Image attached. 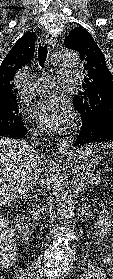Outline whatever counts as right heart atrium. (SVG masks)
I'll use <instances>...</instances> for the list:
<instances>
[{"mask_svg": "<svg viewBox=\"0 0 113 279\" xmlns=\"http://www.w3.org/2000/svg\"><path fill=\"white\" fill-rule=\"evenodd\" d=\"M31 130H32V132H36L37 131V129L34 126L31 128Z\"/></svg>", "mask_w": 113, "mask_h": 279, "instance_id": "1", "label": "right heart atrium"}]
</instances>
